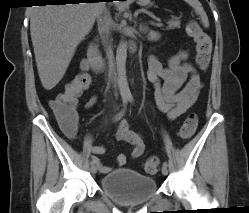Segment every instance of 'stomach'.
<instances>
[{"label": "stomach", "mask_w": 249, "mask_h": 213, "mask_svg": "<svg viewBox=\"0 0 249 213\" xmlns=\"http://www.w3.org/2000/svg\"><path fill=\"white\" fill-rule=\"evenodd\" d=\"M141 6H146L150 3V0H139L138 2Z\"/></svg>", "instance_id": "obj_1"}]
</instances>
